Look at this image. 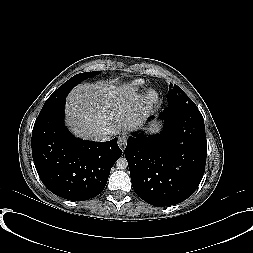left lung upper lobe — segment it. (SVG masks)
<instances>
[{
	"instance_id": "obj_1",
	"label": "left lung upper lobe",
	"mask_w": 253,
	"mask_h": 253,
	"mask_svg": "<svg viewBox=\"0 0 253 253\" xmlns=\"http://www.w3.org/2000/svg\"><path fill=\"white\" fill-rule=\"evenodd\" d=\"M168 103L169 106H175L190 110L198 109L194 102L177 85L173 86L172 84H170Z\"/></svg>"
}]
</instances>
